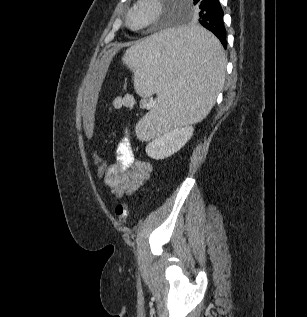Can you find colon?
Returning <instances> with one entry per match:
<instances>
[{
	"mask_svg": "<svg viewBox=\"0 0 307 317\" xmlns=\"http://www.w3.org/2000/svg\"><path fill=\"white\" fill-rule=\"evenodd\" d=\"M94 163L96 166V173L99 178H103L106 174L107 163L101 159L98 154H94ZM116 216L120 223H126L129 217V210L126 203H119L115 208Z\"/></svg>",
	"mask_w": 307,
	"mask_h": 317,
	"instance_id": "1",
	"label": "colon"
}]
</instances>
